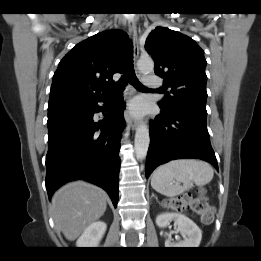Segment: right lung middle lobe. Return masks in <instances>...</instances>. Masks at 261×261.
I'll return each mask as SVG.
<instances>
[{
  "label": "right lung middle lobe",
  "instance_id": "right-lung-middle-lobe-1",
  "mask_svg": "<svg viewBox=\"0 0 261 261\" xmlns=\"http://www.w3.org/2000/svg\"><path fill=\"white\" fill-rule=\"evenodd\" d=\"M80 102H64V101H55L49 102L48 111L58 109L67 105H78Z\"/></svg>",
  "mask_w": 261,
  "mask_h": 261
}]
</instances>
